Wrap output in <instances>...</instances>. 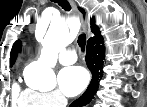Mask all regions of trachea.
<instances>
[{
	"label": "trachea",
	"mask_w": 147,
	"mask_h": 107,
	"mask_svg": "<svg viewBox=\"0 0 147 107\" xmlns=\"http://www.w3.org/2000/svg\"><path fill=\"white\" fill-rule=\"evenodd\" d=\"M54 2L57 3L65 11H70L71 10V6H70V4H69V2L67 0H54ZM77 42H78L79 47L82 50H84L85 45H86V35L84 33L80 34L78 36Z\"/></svg>",
	"instance_id": "1"
}]
</instances>
